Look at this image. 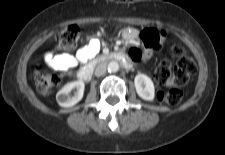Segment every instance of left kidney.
I'll return each instance as SVG.
<instances>
[{"instance_id":"obj_1","label":"left kidney","mask_w":225,"mask_h":155,"mask_svg":"<svg viewBox=\"0 0 225 155\" xmlns=\"http://www.w3.org/2000/svg\"><path fill=\"white\" fill-rule=\"evenodd\" d=\"M137 94L144 100L152 101L155 95L154 84L150 77L138 74L134 79Z\"/></svg>"}]
</instances>
